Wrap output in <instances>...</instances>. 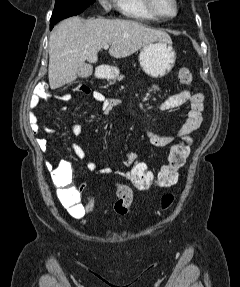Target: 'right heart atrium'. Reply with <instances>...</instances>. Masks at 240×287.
<instances>
[{
	"instance_id": "d8ad5b80",
	"label": "right heart atrium",
	"mask_w": 240,
	"mask_h": 287,
	"mask_svg": "<svg viewBox=\"0 0 240 287\" xmlns=\"http://www.w3.org/2000/svg\"><path fill=\"white\" fill-rule=\"evenodd\" d=\"M99 2L105 10H110L112 8L114 0H99Z\"/></svg>"
}]
</instances>
